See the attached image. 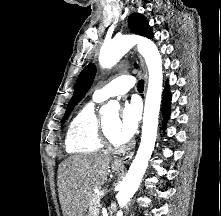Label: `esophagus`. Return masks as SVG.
I'll use <instances>...</instances> for the list:
<instances>
[{
  "label": "esophagus",
  "mask_w": 221,
  "mask_h": 216,
  "mask_svg": "<svg viewBox=\"0 0 221 216\" xmlns=\"http://www.w3.org/2000/svg\"><path fill=\"white\" fill-rule=\"evenodd\" d=\"M139 61H140V65H141V69H142V72H143V75H144V79H145V89L147 87V82H148V73H147V68L145 66V63H144V60L142 59L141 56H139ZM134 156V153L131 152L130 154L126 155V156H123L121 158H117L115 159L114 161V164L115 165H118V166H122L124 167L125 165H127L128 163H130V161L132 160Z\"/></svg>",
  "instance_id": "obj_1"
}]
</instances>
